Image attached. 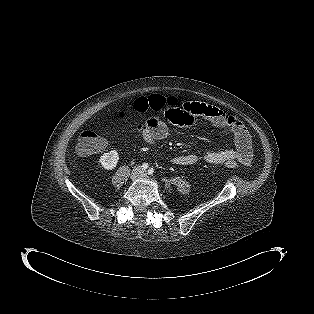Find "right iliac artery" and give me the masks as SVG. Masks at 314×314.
Wrapping results in <instances>:
<instances>
[{
    "label": "right iliac artery",
    "mask_w": 314,
    "mask_h": 314,
    "mask_svg": "<svg viewBox=\"0 0 314 314\" xmlns=\"http://www.w3.org/2000/svg\"><path fill=\"white\" fill-rule=\"evenodd\" d=\"M147 168H148V164L147 163L142 164V169L146 170Z\"/></svg>",
    "instance_id": "82829eb1"
}]
</instances>
